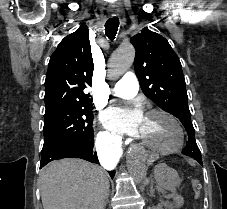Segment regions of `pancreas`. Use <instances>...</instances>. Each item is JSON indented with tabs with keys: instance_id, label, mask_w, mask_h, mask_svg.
I'll return each mask as SVG.
<instances>
[{
	"instance_id": "1",
	"label": "pancreas",
	"mask_w": 227,
	"mask_h": 209,
	"mask_svg": "<svg viewBox=\"0 0 227 209\" xmlns=\"http://www.w3.org/2000/svg\"><path fill=\"white\" fill-rule=\"evenodd\" d=\"M171 202L172 201L170 199H166L164 207L167 208V209H174L173 204Z\"/></svg>"
}]
</instances>
